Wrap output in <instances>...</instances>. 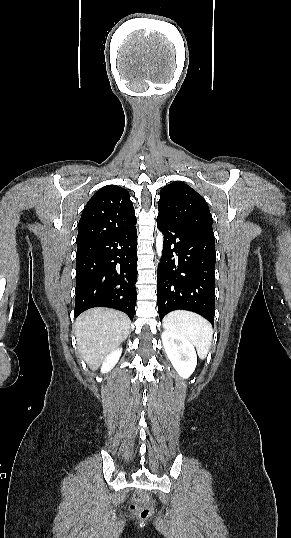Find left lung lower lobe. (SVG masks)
Listing matches in <instances>:
<instances>
[{
	"mask_svg": "<svg viewBox=\"0 0 291 538\" xmlns=\"http://www.w3.org/2000/svg\"><path fill=\"white\" fill-rule=\"evenodd\" d=\"M157 227L164 235L157 272L160 319L173 310L183 309L196 312L214 324V234L180 227L159 215Z\"/></svg>",
	"mask_w": 291,
	"mask_h": 538,
	"instance_id": "obj_1",
	"label": "left lung lower lobe"
}]
</instances>
